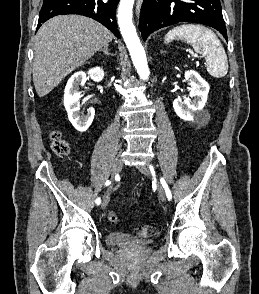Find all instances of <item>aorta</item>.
<instances>
[{"label": "aorta", "instance_id": "762f6f07", "mask_svg": "<svg viewBox=\"0 0 259 294\" xmlns=\"http://www.w3.org/2000/svg\"><path fill=\"white\" fill-rule=\"evenodd\" d=\"M135 0H121L118 8V25L130 52L133 64L141 79H147L149 69L146 54L132 22Z\"/></svg>", "mask_w": 259, "mask_h": 294}]
</instances>
